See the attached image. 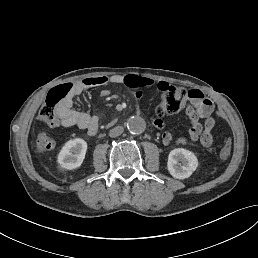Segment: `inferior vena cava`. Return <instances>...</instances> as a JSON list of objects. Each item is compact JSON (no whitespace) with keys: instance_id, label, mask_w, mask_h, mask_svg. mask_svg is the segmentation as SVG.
<instances>
[{"instance_id":"1","label":"inferior vena cava","mask_w":258,"mask_h":258,"mask_svg":"<svg viewBox=\"0 0 258 258\" xmlns=\"http://www.w3.org/2000/svg\"><path fill=\"white\" fill-rule=\"evenodd\" d=\"M124 131V128L122 126H116L114 128H112L109 132L110 137H117L119 135H121Z\"/></svg>"}]
</instances>
